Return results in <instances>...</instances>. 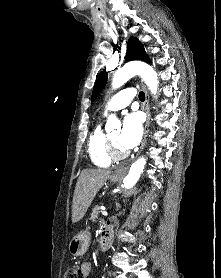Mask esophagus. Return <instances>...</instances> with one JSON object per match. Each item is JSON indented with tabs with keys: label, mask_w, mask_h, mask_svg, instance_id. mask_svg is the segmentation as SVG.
<instances>
[{
	"label": "esophagus",
	"mask_w": 221,
	"mask_h": 278,
	"mask_svg": "<svg viewBox=\"0 0 221 278\" xmlns=\"http://www.w3.org/2000/svg\"><path fill=\"white\" fill-rule=\"evenodd\" d=\"M144 90H145L146 97H145V102H144V105H143V109H144V111L146 113L147 118H146V122H145V125H144V135H143V139H142V142H141V145H140L139 153L143 150V148L145 146V143H146V140H147V136H148L150 118H151L150 110H149V94H148V90H147L145 85H144ZM127 168H128L127 166H123V167L117 169L114 172V175H116V176H124Z\"/></svg>",
	"instance_id": "1"
}]
</instances>
